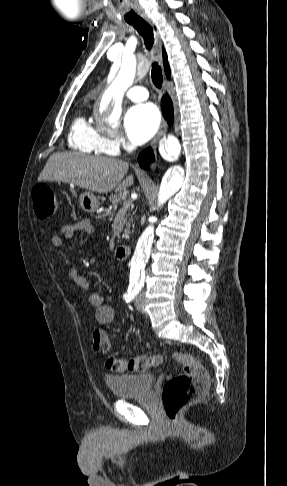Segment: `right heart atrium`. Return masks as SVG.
<instances>
[{
	"label": "right heart atrium",
	"mask_w": 287,
	"mask_h": 486,
	"mask_svg": "<svg viewBox=\"0 0 287 486\" xmlns=\"http://www.w3.org/2000/svg\"><path fill=\"white\" fill-rule=\"evenodd\" d=\"M121 147H127V144L121 137L112 136L104 139V148L109 154L119 152Z\"/></svg>",
	"instance_id": "obj_1"
}]
</instances>
